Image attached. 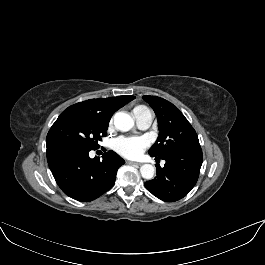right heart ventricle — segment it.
<instances>
[{
  "instance_id": "right-heart-ventricle-1",
  "label": "right heart ventricle",
  "mask_w": 265,
  "mask_h": 265,
  "mask_svg": "<svg viewBox=\"0 0 265 265\" xmlns=\"http://www.w3.org/2000/svg\"><path fill=\"white\" fill-rule=\"evenodd\" d=\"M133 116L137 119L138 117L143 116L144 114L150 113L149 109L143 105H136L132 109Z\"/></svg>"
}]
</instances>
